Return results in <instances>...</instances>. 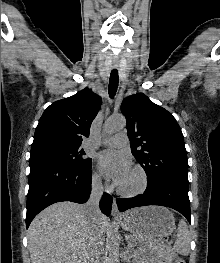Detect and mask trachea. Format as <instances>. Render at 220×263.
Segmentation results:
<instances>
[{"label":"trachea","mask_w":220,"mask_h":263,"mask_svg":"<svg viewBox=\"0 0 220 263\" xmlns=\"http://www.w3.org/2000/svg\"><path fill=\"white\" fill-rule=\"evenodd\" d=\"M118 83H119L118 71L117 69H113L110 74L109 88H108L109 96L111 99H113L114 96L116 95Z\"/></svg>","instance_id":"1"}]
</instances>
